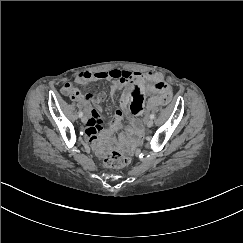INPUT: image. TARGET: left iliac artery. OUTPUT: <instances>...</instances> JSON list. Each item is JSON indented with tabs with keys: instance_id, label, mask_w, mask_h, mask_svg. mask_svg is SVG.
Instances as JSON below:
<instances>
[{
	"instance_id": "44dca946",
	"label": "left iliac artery",
	"mask_w": 243,
	"mask_h": 243,
	"mask_svg": "<svg viewBox=\"0 0 243 243\" xmlns=\"http://www.w3.org/2000/svg\"><path fill=\"white\" fill-rule=\"evenodd\" d=\"M155 118V115L154 114H151L150 115V119H154Z\"/></svg>"
}]
</instances>
